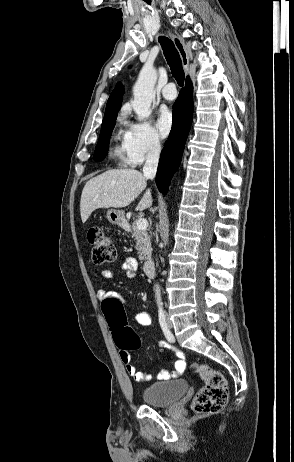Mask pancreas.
I'll use <instances>...</instances> for the list:
<instances>
[{
  "instance_id": "obj_1",
  "label": "pancreas",
  "mask_w": 294,
  "mask_h": 462,
  "mask_svg": "<svg viewBox=\"0 0 294 462\" xmlns=\"http://www.w3.org/2000/svg\"><path fill=\"white\" fill-rule=\"evenodd\" d=\"M130 232L131 237L136 242L139 259L141 261L151 259V239L146 230H139L136 222H134L130 228Z\"/></svg>"
}]
</instances>
